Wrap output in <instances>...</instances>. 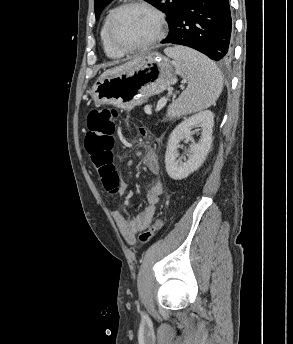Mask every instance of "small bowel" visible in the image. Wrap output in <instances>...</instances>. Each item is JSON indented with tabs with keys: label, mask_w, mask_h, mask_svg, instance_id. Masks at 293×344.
<instances>
[{
	"label": "small bowel",
	"mask_w": 293,
	"mask_h": 344,
	"mask_svg": "<svg viewBox=\"0 0 293 344\" xmlns=\"http://www.w3.org/2000/svg\"><path fill=\"white\" fill-rule=\"evenodd\" d=\"M137 154L141 156L142 163L146 169L153 175L157 176L160 172V167L152 148L146 146L143 151H138ZM98 171L100 177H105L109 183H118V193L120 195H124L128 192L127 182L119 179L114 165L103 167L98 169ZM162 192L163 185L161 181L159 179H155L146 192L145 198L147 206L141 213L133 218H127L119 210H116L113 213V218L120 230V233L128 244H135V235L150 225Z\"/></svg>",
	"instance_id": "small-bowel-1"
}]
</instances>
